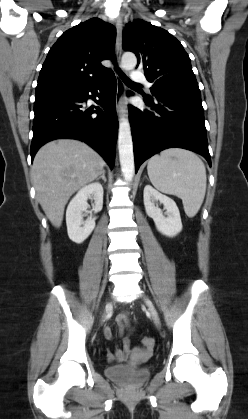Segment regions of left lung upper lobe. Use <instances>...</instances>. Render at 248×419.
Returning a JSON list of instances; mask_svg holds the SVG:
<instances>
[{
	"mask_svg": "<svg viewBox=\"0 0 248 419\" xmlns=\"http://www.w3.org/2000/svg\"><path fill=\"white\" fill-rule=\"evenodd\" d=\"M123 48L136 54L137 67H143L147 80L153 83V96L201 97L190 58L168 31L134 20L124 30Z\"/></svg>",
	"mask_w": 248,
	"mask_h": 419,
	"instance_id": "1",
	"label": "left lung upper lobe"
}]
</instances>
